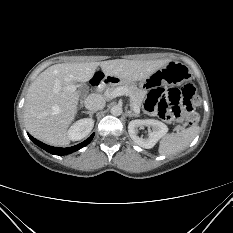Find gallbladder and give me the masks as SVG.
Wrapping results in <instances>:
<instances>
[{
	"label": "gallbladder",
	"instance_id": "obj_1",
	"mask_svg": "<svg viewBox=\"0 0 233 233\" xmlns=\"http://www.w3.org/2000/svg\"><path fill=\"white\" fill-rule=\"evenodd\" d=\"M85 85H80V90H84Z\"/></svg>",
	"mask_w": 233,
	"mask_h": 233
}]
</instances>
